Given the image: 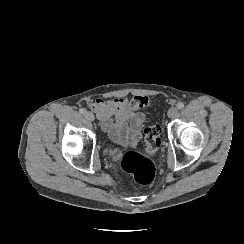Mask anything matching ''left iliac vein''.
I'll list each match as a JSON object with an SVG mask.
<instances>
[{"mask_svg": "<svg viewBox=\"0 0 244 244\" xmlns=\"http://www.w3.org/2000/svg\"><path fill=\"white\" fill-rule=\"evenodd\" d=\"M168 117L173 118L178 115V109L176 107H172L167 112Z\"/></svg>", "mask_w": 244, "mask_h": 244, "instance_id": "obj_1", "label": "left iliac vein"}]
</instances>
